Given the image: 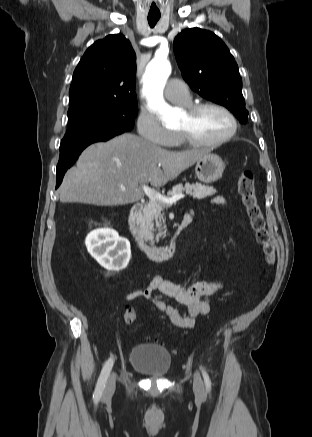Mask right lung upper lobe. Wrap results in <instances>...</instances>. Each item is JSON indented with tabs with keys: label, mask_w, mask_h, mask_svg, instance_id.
I'll return each instance as SVG.
<instances>
[{
	"label": "right lung upper lobe",
	"mask_w": 312,
	"mask_h": 437,
	"mask_svg": "<svg viewBox=\"0 0 312 437\" xmlns=\"http://www.w3.org/2000/svg\"><path fill=\"white\" fill-rule=\"evenodd\" d=\"M136 55L121 34L91 45L74 71L69 107L89 102L135 103Z\"/></svg>",
	"instance_id": "1"
}]
</instances>
